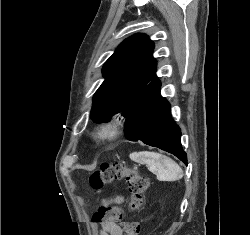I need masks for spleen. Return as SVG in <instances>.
Returning a JSON list of instances; mask_svg holds the SVG:
<instances>
[{"label":"spleen","instance_id":"3e777b00","mask_svg":"<svg viewBox=\"0 0 250 235\" xmlns=\"http://www.w3.org/2000/svg\"><path fill=\"white\" fill-rule=\"evenodd\" d=\"M130 158L145 164L160 181H176L183 177L182 168L168 156L156 152L143 151L131 154Z\"/></svg>","mask_w":250,"mask_h":235}]
</instances>
